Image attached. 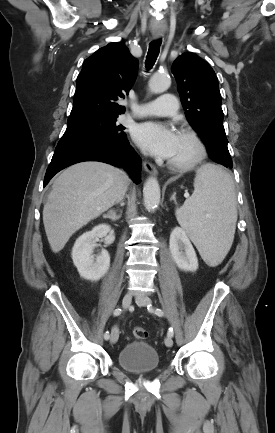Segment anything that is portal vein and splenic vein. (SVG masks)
<instances>
[{"label": "portal vein and splenic vein", "mask_w": 275, "mask_h": 433, "mask_svg": "<svg viewBox=\"0 0 275 433\" xmlns=\"http://www.w3.org/2000/svg\"><path fill=\"white\" fill-rule=\"evenodd\" d=\"M185 197H188L189 196V194L188 193H185V195H184Z\"/></svg>", "instance_id": "portal-vein-and-splenic-vein-1"}]
</instances>
